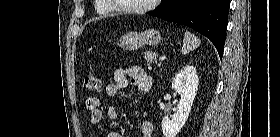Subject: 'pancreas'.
I'll return each mask as SVG.
<instances>
[{"label": "pancreas", "instance_id": "pancreas-1", "mask_svg": "<svg viewBox=\"0 0 280 137\" xmlns=\"http://www.w3.org/2000/svg\"><path fill=\"white\" fill-rule=\"evenodd\" d=\"M144 58L149 63H156L157 62V54L151 51H147L144 53Z\"/></svg>", "mask_w": 280, "mask_h": 137}]
</instances>
